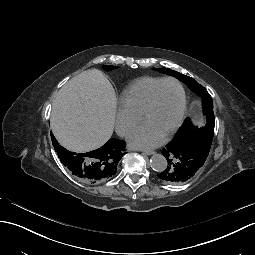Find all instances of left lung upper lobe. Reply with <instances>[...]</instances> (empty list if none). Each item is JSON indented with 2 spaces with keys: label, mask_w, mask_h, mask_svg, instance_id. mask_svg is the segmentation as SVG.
Masks as SVG:
<instances>
[{
  "label": "left lung upper lobe",
  "mask_w": 255,
  "mask_h": 255,
  "mask_svg": "<svg viewBox=\"0 0 255 255\" xmlns=\"http://www.w3.org/2000/svg\"><path fill=\"white\" fill-rule=\"evenodd\" d=\"M155 70H158L161 73H165V74L176 77L177 79L182 81L185 85H187L190 90L198 94L203 99V113L206 115V119H207L206 125L198 128L191 123L190 119L187 118L184 121L183 125L178 130L179 133L178 132H177L178 134L176 133L172 141L175 140V142L178 144H182L184 142L189 145L194 144L197 151L202 156L207 158V156H209L211 153L210 148H211V144H212V140L214 136V126H215V117L212 111L213 101L210 94L202 85L197 83L193 78L189 76L183 75L169 68H155ZM169 143L167 145H169Z\"/></svg>",
  "instance_id": "obj_1"
}]
</instances>
